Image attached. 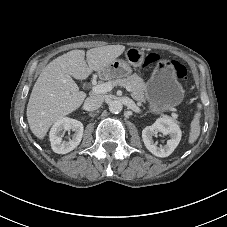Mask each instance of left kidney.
Masks as SVG:
<instances>
[{
  "label": "left kidney",
  "mask_w": 227,
  "mask_h": 227,
  "mask_svg": "<svg viewBox=\"0 0 227 227\" xmlns=\"http://www.w3.org/2000/svg\"><path fill=\"white\" fill-rule=\"evenodd\" d=\"M158 132L163 135H170L171 139L165 146H157L153 136ZM182 132L179 125L169 118H159L151 126L142 130V139L146 148L157 157H167L175 150L181 140Z\"/></svg>",
  "instance_id": "5707ae66"
}]
</instances>
